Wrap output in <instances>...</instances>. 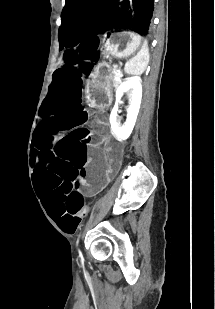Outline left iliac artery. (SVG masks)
I'll return each instance as SVG.
<instances>
[{"label":"left iliac artery","mask_w":215,"mask_h":309,"mask_svg":"<svg viewBox=\"0 0 215 309\" xmlns=\"http://www.w3.org/2000/svg\"><path fill=\"white\" fill-rule=\"evenodd\" d=\"M79 237H80V235H79ZM79 237H78V239H77V244H78V242H79Z\"/></svg>","instance_id":"left-iliac-artery-1"}]
</instances>
